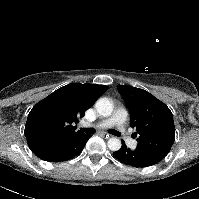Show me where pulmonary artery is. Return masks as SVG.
Segmentation results:
<instances>
[{
	"label": "pulmonary artery",
	"mask_w": 199,
	"mask_h": 199,
	"mask_svg": "<svg viewBox=\"0 0 199 199\" xmlns=\"http://www.w3.org/2000/svg\"><path fill=\"white\" fill-rule=\"evenodd\" d=\"M127 116V110L123 107H118L114 110L113 114L109 118L99 122L97 127L105 128L115 126L128 146L135 148L137 143L129 136V133L126 129Z\"/></svg>",
	"instance_id": "obj_1"
}]
</instances>
